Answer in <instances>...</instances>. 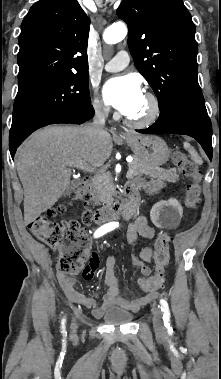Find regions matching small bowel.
Here are the masks:
<instances>
[{"label": "small bowel", "instance_id": "obj_1", "mask_svg": "<svg viewBox=\"0 0 221 379\" xmlns=\"http://www.w3.org/2000/svg\"><path fill=\"white\" fill-rule=\"evenodd\" d=\"M137 189L139 183L133 182ZM163 186L162 182L156 181L152 183V186L148 189L149 192H156ZM155 235V230L148 224L145 216H137L134 221L130 223L126 232V239L129 245L134 244L138 237L151 239ZM100 253H89L87 262L81 268L83 279L85 282H96L97 271H101ZM153 258V250L151 247H144L140 251L139 256L133 255L131 257L132 265L138 267L144 276L151 274L150 263ZM115 258L108 256L105 261L104 283L106 285V292L103 296L102 303L97 304L95 298L91 295L82 293L75 288V279L66 275L65 273L58 272L57 279L64 293L65 299L73 304L80 305L92 310V314L95 317L102 316L106 310L114 305L123 306L130 310H137L146 301L155 297V294H151L146 297H139L134 299L125 298L120 295L118 278L115 272Z\"/></svg>", "mask_w": 221, "mask_h": 379}]
</instances>
